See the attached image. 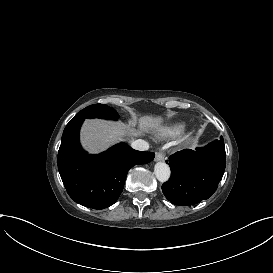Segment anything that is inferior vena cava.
<instances>
[{"mask_svg": "<svg viewBox=\"0 0 273 273\" xmlns=\"http://www.w3.org/2000/svg\"><path fill=\"white\" fill-rule=\"evenodd\" d=\"M131 147L135 150L145 151L149 149V144L142 139H138L132 142Z\"/></svg>", "mask_w": 273, "mask_h": 273, "instance_id": "1", "label": "inferior vena cava"}]
</instances>
